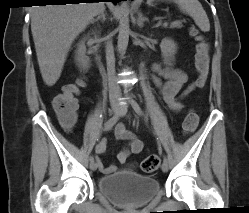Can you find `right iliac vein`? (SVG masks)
<instances>
[{
  "mask_svg": "<svg viewBox=\"0 0 249 213\" xmlns=\"http://www.w3.org/2000/svg\"><path fill=\"white\" fill-rule=\"evenodd\" d=\"M112 112L113 113H118L119 112V107H118V105L117 104H113L112 105ZM90 169L92 170V171H95L96 169H97V164L93 161V162H90Z\"/></svg>",
  "mask_w": 249,
  "mask_h": 213,
  "instance_id": "obj_1",
  "label": "right iliac vein"
}]
</instances>
